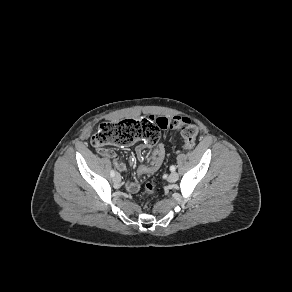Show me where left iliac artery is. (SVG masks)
Listing matches in <instances>:
<instances>
[{
	"label": "left iliac artery",
	"mask_w": 292,
	"mask_h": 292,
	"mask_svg": "<svg viewBox=\"0 0 292 292\" xmlns=\"http://www.w3.org/2000/svg\"><path fill=\"white\" fill-rule=\"evenodd\" d=\"M170 170H171L172 172L175 171V170H176L175 166H174V165L170 166Z\"/></svg>",
	"instance_id": "44dca946"
}]
</instances>
